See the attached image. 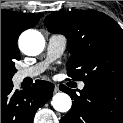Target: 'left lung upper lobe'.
Masks as SVG:
<instances>
[{
  "label": "left lung upper lobe",
  "mask_w": 123,
  "mask_h": 123,
  "mask_svg": "<svg viewBox=\"0 0 123 123\" xmlns=\"http://www.w3.org/2000/svg\"><path fill=\"white\" fill-rule=\"evenodd\" d=\"M51 33L67 38L68 75L84 83L123 84V30L95 10L58 12L44 21Z\"/></svg>",
  "instance_id": "left-lung-upper-lobe-1"
}]
</instances>
